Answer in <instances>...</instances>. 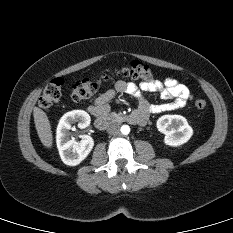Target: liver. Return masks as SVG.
<instances>
[{
  "label": "liver",
  "instance_id": "liver-1",
  "mask_svg": "<svg viewBox=\"0 0 233 233\" xmlns=\"http://www.w3.org/2000/svg\"><path fill=\"white\" fill-rule=\"evenodd\" d=\"M34 123L37 130V134L41 143L46 148H51L53 145V135L51 130L50 121L46 113L38 107L33 109Z\"/></svg>",
  "mask_w": 233,
  "mask_h": 233
}]
</instances>
